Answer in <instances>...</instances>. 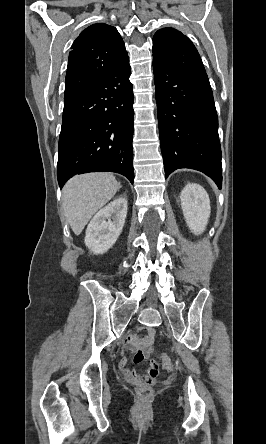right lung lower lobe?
<instances>
[{
    "label": "right lung lower lobe",
    "mask_w": 266,
    "mask_h": 444,
    "mask_svg": "<svg viewBox=\"0 0 266 444\" xmlns=\"http://www.w3.org/2000/svg\"><path fill=\"white\" fill-rule=\"evenodd\" d=\"M129 58L77 98L64 103L58 146L60 188L76 174L110 171L134 181L133 86Z\"/></svg>",
    "instance_id": "obj_1"
}]
</instances>
